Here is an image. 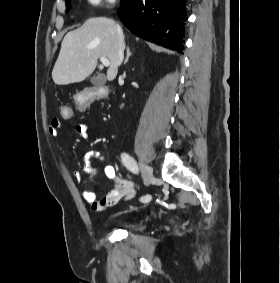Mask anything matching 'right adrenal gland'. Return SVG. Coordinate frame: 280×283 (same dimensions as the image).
I'll return each mask as SVG.
<instances>
[{
	"label": "right adrenal gland",
	"instance_id": "1",
	"mask_svg": "<svg viewBox=\"0 0 280 283\" xmlns=\"http://www.w3.org/2000/svg\"><path fill=\"white\" fill-rule=\"evenodd\" d=\"M132 55V53L130 52L129 47H127V55H126V59L124 61V64H126L129 60V57Z\"/></svg>",
	"mask_w": 280,
	"mask_h": 283
}]
</instances>
